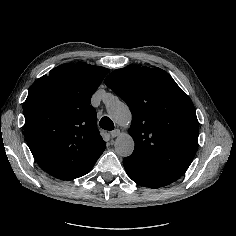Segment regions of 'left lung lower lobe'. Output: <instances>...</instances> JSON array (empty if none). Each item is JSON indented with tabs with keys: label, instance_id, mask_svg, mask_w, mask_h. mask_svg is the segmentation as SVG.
Returning a JSON list of instances; mask_svg holds the SVG:
<instances>
[{
	"label": "left lung lower lobe",
	"instance_id": "obj_1",
	"mask_svg": "<svg viewBox=\"0 0 236 236\" xmlns=\"http://www.w3.org/2000/svg\"><path fill=\"white\" fill-rule=\"evenodd\" d=\"M123 165L129 177L141 186L158 188L174 182L132 158L125 157Z\"/></svg>",
	"mask_w": 236,
	"mask_h": 236
}]
</instances>
